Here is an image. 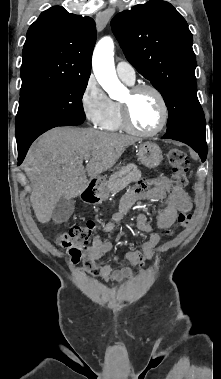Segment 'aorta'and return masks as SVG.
I'll return each instance as SVG.
<instances>
[{
  "label": "aorta",
  "instance_id": "762f6f07",
  "mask_svg": "<svg viewBox=\"0 0 221 379\" xmlns=\"http://www.w3.org/2000/svg\"><path fill=\"white\" fill-rule=\"evenodd\" d=\"M94 75L111 98L116 99L123 91L114 66V42L111 37L102 38L96 45L92 58Z\"/></svg>",
  "mask_w": 221,
  "mask_h": 379
}]
</instances>
